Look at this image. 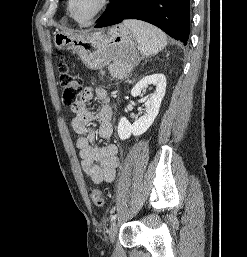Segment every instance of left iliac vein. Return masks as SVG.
<instances>
[{"instance_id":"1","label":"left iliac vein","mask_w":247,"mask_h":257,"mask_svg":"<svg viewBox=\"0 0 247 257\" xmlns=\"http://www.w3.org/2000/svg\"><path fill=\"white\" fill-rule=\"evenodd\" d=\"M117 229H118V223L117 221H114L108 231V235H109V240L111 243L114 242L115 237H116V233H117Z\"/></svg>"}]
</instances>
